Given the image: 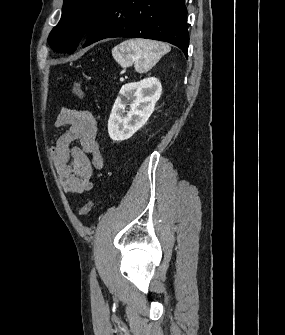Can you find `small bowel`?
Masks as SVG:
<instances>
[{"mask_svg": "<svg viewBox=\"0 0 285 335\" xmlns=\"http://www.w3.org/2000/svg\"><path fill=\"white\" fill-rule=\"evenodd\" d=\"M56 127H67L51 148L55 169L63 189L79 195L92 188V175L103 166L96 141L97 122L90 111L62 108ZM77 145L72 146V143Z\"/></svg>", "mask_w": 285, "mask_h": 335, "instance_id": "1", "label": "small bowel"}]
</instances>
